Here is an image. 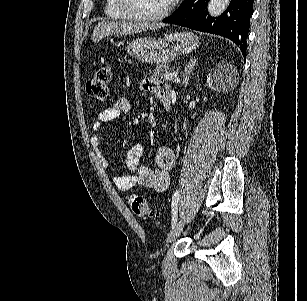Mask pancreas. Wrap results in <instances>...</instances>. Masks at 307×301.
Listing matches in <instances>:
<instances>
[{"label": "pancreas", "instance_id": "1", "mask_svg": "<svg viewBox=\"0 0 307 301\" xmlns=\"http://www.w3.org/2000/svg\"><path fill=\"white\" fill-rule=\"evenodd\" d=\"M172 72L171 68H169L168 64H158L154 70H150L151 76H155V78H164V80H173V78H165L164 74H169Z\"/></svg>", "mask_w": 307, "mask_h": 301}]
</instances>
